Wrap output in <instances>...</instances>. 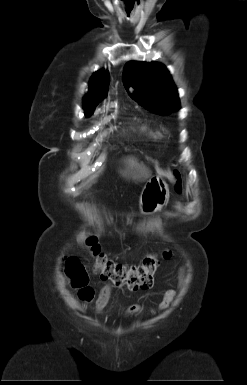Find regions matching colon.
I'll return each mask as SVG.
<instances>
[{
	"label": "colon",
	"mask_w": 247,
	"mask_h": 385,
	"mask_svg": "<svg viewBox=\"0 0 247 385\" xmlns=\"http://www.w3.org/2000/svg\"><path fill=\"white\" fill-rule=\"evenodd\" d=\"M175 190L177 192L181 190V182L177 173L175 174ZM85 247L93 260V267L96 274L103 280L110 281L115 286H125L130 290H140L151 287L160 257L168 259L171 256V253L167 250L163 251L160 255L149 253L139 265L128 266L108 258L101 250L95 238L87 239ZM66 273L70 278L72 287L78 290L79 297L83 301H91L94 292L88 284V275L82 264L75 258L67 259Z\"/></svg>",
	"instance_id": "obj_1"
}]
</instances>
